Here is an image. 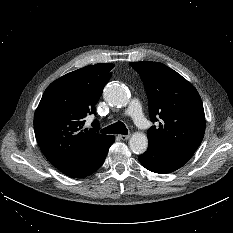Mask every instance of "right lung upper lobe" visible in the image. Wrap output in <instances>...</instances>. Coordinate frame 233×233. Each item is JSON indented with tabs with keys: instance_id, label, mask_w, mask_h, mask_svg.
<instances>
[{
	"instance_id": "obj_1",
	"label": "right lung upper lobe",
	"mask_w": 233,
	"mask_h": 233,
	"mask_svg": "<svg viewBox=\"0 0 233 233\" xmlns=\"http://www.w3.org/2000/svg\"><path fill=\"white\" fill-rule=\"evenodd\" d=\"M114 65L99 63L70 72L45 90L34 116V131L45 157L60 171L97 153L112 137L82 130L87 114L95 113Z\"/></svg>"
}]
</instances>
